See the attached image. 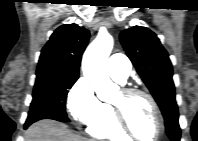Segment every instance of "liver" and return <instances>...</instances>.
<instances>
[{
	"label": "liver",
	"mask_w": 198,
	"mask_h": 141,
	"mask_svg": "<svg viewBox=\"0 0 198 141\" xmlns=\"http://www.w3.org/2000/svg\"><path fill=\"white\" fill-rule=\"evenodd\" d=\"M25 141H91L71 132L67 125L53 121L41 120L31 125Z\"/></svg>",
	"instance_id": "6515ba94"
}]
</instances>
